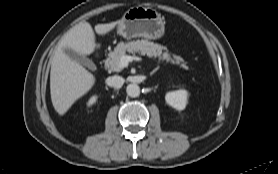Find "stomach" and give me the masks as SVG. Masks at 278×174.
Masks as SVG:
<instances>
[{
    "mask_svg": "<svg viewBox=\"0 0 278 174\" xmlns=\"http://www.w3.org/2000/svg\"><path fill=\"white\" fill-rule=\"evenodd\" d=\"M164 31L165 22L161 14L143 6H135L126 11L117 30L118 34L126 39H158L163 36Z\"/></svg>",
    "mask_w": 278,
    "mask_h": 174,
    "instance_id": "1",
    "label": "stomach"
}]
</instances>
